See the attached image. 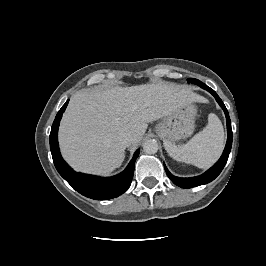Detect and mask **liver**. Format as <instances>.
I'll return each mask as SVG.
<instances>
[{
    "mask_svg": "<svg viewBox=\"0 0 266 266\" xmlns=\"http://www.w3.org/2000/svg\"><path fill=\"white\" fill-rule=\"evenodd\" d=\"M200 101L191 89L173 83L80 90L60 124L62 155L75 170L108 174L124 160L122 134H131L137 144L149 122Z\"/></svg>",
    "mask_w": 266,
    "mask_h": 266,
    "instance_id": "1",
    "label": "liver"
}]
</instances>
